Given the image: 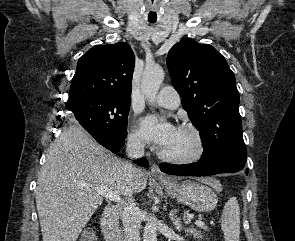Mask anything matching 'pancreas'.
<instances>
[{
  "mask_svg": "<svg viewBox=\"0 0 295 241\" xmlns=\"http://www.w3.org/2000/svg\"><path fill=\"white\" fill-rule=\"evenodd\" d=\"M202 228H203L204 230H207V227H206V226H202Z\"/></svg>",
  "mask_w": 295,
  "mask_h": 241,
  "instance_id": "obj_1",
  "label": "pancreas"
}]
</instances>
